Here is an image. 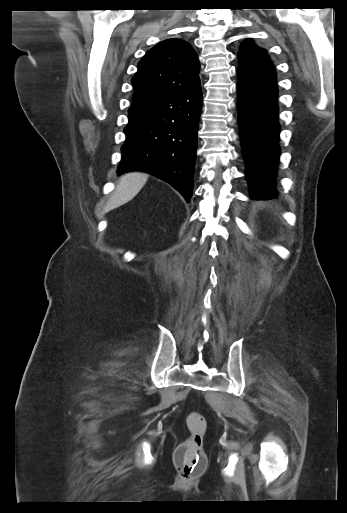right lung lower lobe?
Wrapping results in <instances>:
<instances>
[{"label": "right lung lower lobe", "mask_w": 347, "mask_h": 513, "mask_svg": "<svg viewBox=\"0 0 347 513\" xmlns=\"http://www.w3.org/2000/svg\"><path fill=\"white\" fill-rule=\"evenodd\" d=\"M202 91L178 93L133 104L118 174L140 170L175 187L189 202L192 196Z\"/></svg>", "instance_id": "1"}]
</instances>
